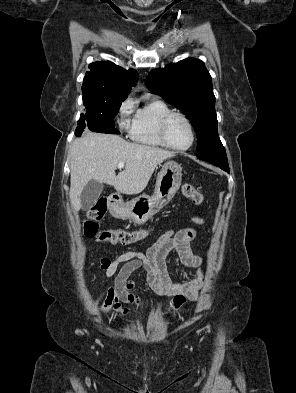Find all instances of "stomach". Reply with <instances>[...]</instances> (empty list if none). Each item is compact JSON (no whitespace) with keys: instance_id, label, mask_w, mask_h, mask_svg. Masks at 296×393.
<instances>
[{"instance_id":"0dacf381","label":"stomach","mask_w":296,"mask_h":393,"mask_svg":"<svg viewBox=\"0 0 296 393\" xmlns=\"http://www.w3.org/2000/svg\"><path fill=\"white\" fill-rule=\"evenodd\" d=\"M182 168L175 161L163 164L156 180L154 194L142 195L129 202L117 201L112 213L119 219L143 224L166 206L178 191L182 181Z\"/></svg>"}]
</instances>
